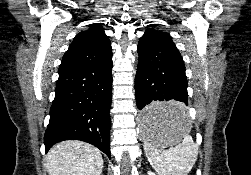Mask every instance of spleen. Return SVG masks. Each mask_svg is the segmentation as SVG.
I'll use <instances>...</instances> for the list:
<instances>
[{"label":"spleen","mask_w":251,"mask_h":175,"mask_svg":"<svg viewBox=\"0 0 251 175\" xmlns=\"http://www.w3.org/2000/svg\"><path fill=\"white\" fill-rule=\"evenodd\" d=\"M174 113V111H173ZM178 117L181 141L174 149H157L158 141L163 139L165 129L168 127L170 115H151L149 119V137L145 139L144 149L152 167L159 175H187L192 169L198 155V145L194 143L190 133L191 123L185 109L176 113Z\"/></svg>","instance_id":"spleen-1"}]
</instances>
